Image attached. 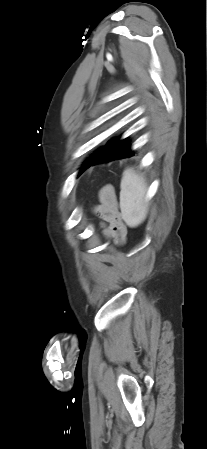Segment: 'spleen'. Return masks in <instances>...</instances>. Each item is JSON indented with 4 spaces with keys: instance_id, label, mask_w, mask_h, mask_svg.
Wrapping results in <instances>:
<instances>
[{
    "instance_id": "3e777b00",
    "label": "spleen",
    "mask_w": 207,
    "mask_h": 449,
    "mask_svg": "<svg viewBox=\"0 0 207 449\" xmlns=\"http://www.w3.org/2000/svg\"><path fill=\"white\" fill-rule=\"evenodd\" d=\"M120 208L122 218L129 227H137L147 216V183L132 168L123 172L120 185Z\"/></svg>"
}]
</instances>
